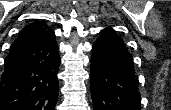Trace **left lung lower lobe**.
<instances>
[{"label": "left lung lower lobe", "instance_id": "1", "mask_svg": "<svg viewBox=\"0 0 171 110\" xmlns=\"http://www.w3.org/2000/svg\"><path fill=\"white\" fill-rule=\"evenodd\" d=\"M90 85L94 110H140L133 57L112 28L93 45Z\"/></svg>", "mask_w": 171, "mask_h": 110}]
</instances>
